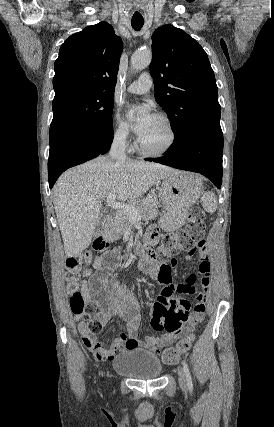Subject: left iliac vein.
Wrapping results in <instances>:
<instances>
[{
  "mask_svg": "<svg viewBox=\"0 0 274 427\" xmlns=\"http://www.w3.org/2000/svg\"><path fill=\"white\" fill-rule=\"evenodd\" d=\"M177 372H178V380H179L180 387L183 390H186L187 389V379H186V375H185L183 368L181 366H179L177 368Z\"/></svg>",
  "mask_w": 274,
  "mask_h": 427,
  "instance_id": "left-iliac-vein-1",
  "label": "left iliac vein"
}]
</instances>
